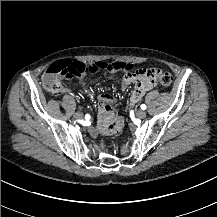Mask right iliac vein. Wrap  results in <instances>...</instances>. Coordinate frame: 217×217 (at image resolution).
<instances>
[{"mask_svg": "<svg viewBox=\"0 0 217 217\" xmlns=\"http://www.w3.org/2000/svg\"><path fill=\"white\" fill-rule=\"evenodd\" d=\"M75 119H83V113L82 112H76L74 114Z\"/></svg>", "mask_w": 217, "mask_h": 217, "instance_id": "obj_1", "label": "right iliac vein"}]
</instances>
